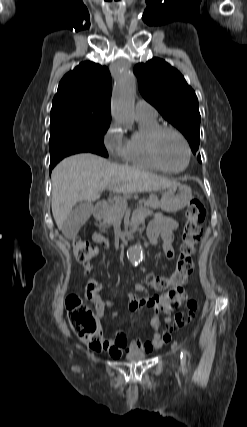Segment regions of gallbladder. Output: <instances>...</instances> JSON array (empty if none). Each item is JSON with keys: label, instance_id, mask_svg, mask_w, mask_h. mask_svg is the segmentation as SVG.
I'll list each match as a JSON object with an SVG mask.
<instances>
[{"label": "gallbladder", "instance_id": "1", "mask_svg": "<svg viewBox=\"0 0 247 427\" xmlns=\"http://www.w3.org/2000/svg\"><path fill=\"white\" fill-rule=\"evenodd\" d=\"M93 210V204L90 202H79L68 215L63 223L62 231L66 238H74L79 229L89 219Z\"/></svg>", "mask_w": 247, "mask_h": 427}]
</instances>
